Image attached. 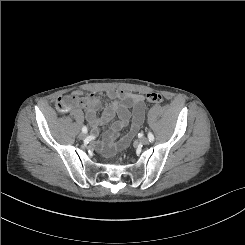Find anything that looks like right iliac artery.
Listing matches in <instances>:
<instances>
[{
  "label": "right iliac artery",
  "instance_id": "obj_1",
  "mask_svg": "<svg viewBox=\"0 0 245 245\" xmlns=\"http://www.w3.org/2000/svg\"><path fill=\"white\" fill-rule=\"evenodd\" d=\"M82 132H83V133H87V132H88V129H87L86 126H84V127L82 128Z\"/></svg>",
  "mask_w": 245,
  "mask_h": 245
}]
</instances>
